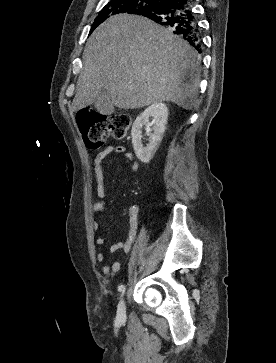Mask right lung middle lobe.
Here are the masks:
<instances>
[{"label":"right lung middle lobe","mask_w":276,"mask_h":363,"mask_svg":"<svg viewBox=\"0 0 276 363\" xmlns=\"http://www.w3.org/2000/svg\"><path fill=\"white\" fill-rule=\"evenodd\" d=\"M155 0H111L99 12L92 24L90 33L109 17L119 14H137L152 5L156 4Z\"/></svg>","instance_id":"1"}]
</instances>
